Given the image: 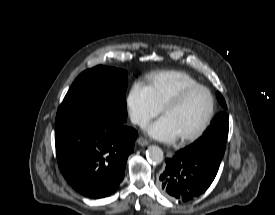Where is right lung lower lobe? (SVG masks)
Masks as SVG:
<instances>
[{
  "label": "right lung lower lobe",
  "mask_w": 275,
  "mask_h": 215,
  "mask_svg": "<svg viewBox=\"0 0 275 215\" xmlns=\"http://www.w3.org/2000/svg\"><path fill=\"white\" fill-rule=\"evenodd\" d=\"M107 111L55 123L59 169L80 194L104 198L116 191L124 178L128 156L138 133Z\"/></svg>",
  "instance_id": "1"
}]
</instances>
